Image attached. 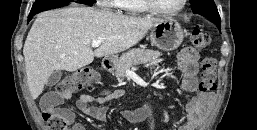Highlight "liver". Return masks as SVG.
<instances>
[{"mask_svg": "<svg viewBox=\"0 0 257 130\" xmlns=\"http://www.w3.org/2000/svg\"><path fill=\"white\" fill-rule=\"evenodd\" d=\"M159 21L88 7L39 14L23 48L31 97H39L54 71L74 72L92 63L94 57L123 52L142 40ZM94 40H103L95 51L90 47Z\"/></svg>", "mask_w": 257, "mask_h": 130, "instance_id": "1", "label": "liver"}]
</instances>
